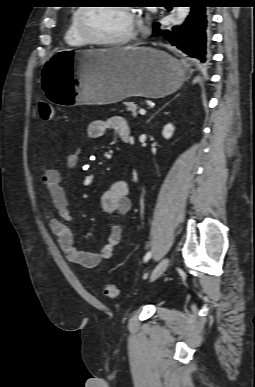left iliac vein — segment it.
I'll use <instances>...</instances> for the list:
<instances>
[{
  "mask_svg": "<svg viewBox=\"0 0 255 387\" xmlns=\"http://www.w3.org/2000/svg\"><path fill=\"white\" fill-rule=\"evenodd\" d=\"M168 266H169V259L168 258H164L163 260H161L159 262V264L154 268V270L151 274L150 280L154 281L157 278H159L166 271Z\"/></svg>",
  "mask_w": 255,
  "mask_h": 387,
  "instance_id": "4c4485c4",
  "label": "left iliac vein"
}]
</instances>
